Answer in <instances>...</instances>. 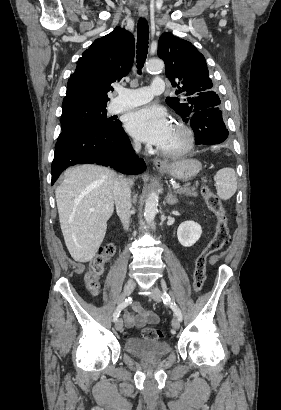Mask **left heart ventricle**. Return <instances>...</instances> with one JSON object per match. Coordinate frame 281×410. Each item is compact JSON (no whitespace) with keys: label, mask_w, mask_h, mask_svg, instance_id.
<instances>
[{"label":"left heart ventricle","mask_w":281,"mask_h":410,"mask_svg":"<svg viewBox=\"0 0 281 410\" xmlns=\"http://www.w3.org/2000/svg\"><path fill=\"white\" fill-rule=\"evenodd\" d=\"M184 143L183 134L172 125V129L166 141L160 146V148L165 150H175L179 148Z\"/></svg>","instance_id":"left-heart-ventricle-1"}]
</instances>
